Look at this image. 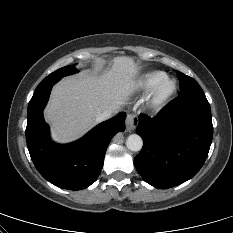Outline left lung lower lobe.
I'll return each instance as SVG.
<instances>
[{
  "instance_id": "0a47b994",
  "label": "left lung lower lobe",
  "mask_w": 233,
  "mask_h": 233,
  "mask_svg": "<svg viewBox=\"0 0 233 233\" xmlns=\"http://www.w3.org/2000/svg\"><path fill=\"white\" fill-rule=\"evenodd\" d=\"M143 139L134 165L150 185L167 189L191 179L204 164L213 136L204 92L180 94L154 118L139 115Z\"/></svg>"
}]
</instances>
